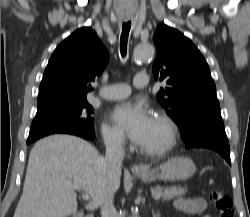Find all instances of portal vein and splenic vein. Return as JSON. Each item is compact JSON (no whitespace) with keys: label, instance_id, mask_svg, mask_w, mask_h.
Masks as SVG:
<instances>
[{"label":"portal vein and splenic vein","instance_id":"18ae733b","mask_svg":"<svg viewBox=\"0 0 250 217\" xmlns=\"http://www.w3.org/2000/svg\"><path fill=\"white\" fill-rule=\"evenodd\" d=\"M76 190L82 191V189L77 188V187H76ZM153 197H154L155 200H159L161 198V195L160 194H155V195H153ZM84 198L88 200L90 197L88 195H85Z\"/></svg>","mask_w":250,"mask_h":217}]
</instances>
